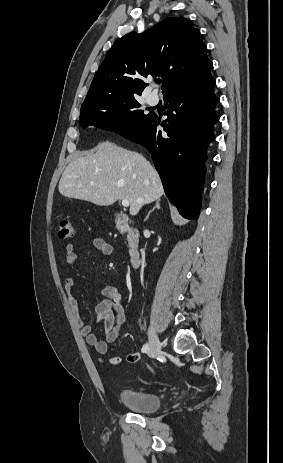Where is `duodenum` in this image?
I'll list each match as a JSON object with an SVG mask.
<instances>
[{"instance_id":"obj_1","label":"duodenum","mask_w":283,"mask_h":463,"mask_svg":"<svg viewBox=\"0 0 283 463\" xmlns=\"http://www.w3.org/2000/svg\"><path fill=\"white\" fill-rule=\"evenodd\" d=\"M115 225L125 228L128 233L129 261L132 267L140 265L139 234L129 226L128 217L124 213H117L114 219Z\"/></svg>"}]
</instances>
